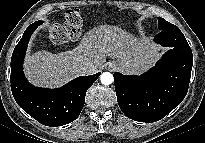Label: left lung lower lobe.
Returning <instances> with one entry per match:
<instances>
[{
  "label": "left lung lower lobe",
  "instance_id": "0a47b994",
  "mask_svg": "<svg viewBox=\"0 0 205 143\" xmlns=\"http://www.w3.org/2000/svg\"><path fill=\"white\" fill-rule=\"evenodd\" d=\"M154 40L170 47L148 72L114 74L121 111L130 119L152 123L170 113L187 94L193 65L192 50L179 28L161 30Z\"/></svg>",
  "mask_w": 205,
  "mask_h": 143
}]
</instances>
